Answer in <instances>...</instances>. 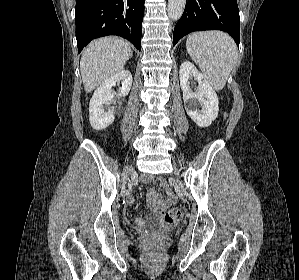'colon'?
<instances>
[{
    "instance_id": "colon-1",
    "label": "colon",
    "mask_w": 299,
    "mask_h": 280,
    "mask_svg": "<svg viewBox=\"0 0 299 280\" xmlns=\"http://www.w3.org/2000/svg\"><path fill=\"white\" fill-rule=\"evenodd\" d=\"M182 216V211L179 207H173L169 209L163 216V221L167 225L177 223Z\"/></svg>"
}]
</instances>
